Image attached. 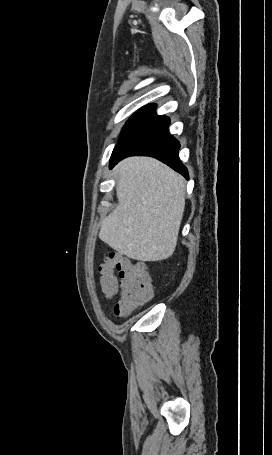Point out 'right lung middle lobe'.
<instances>
[{"label": "right lung middle lobe", "mask_w": 272, "mask_h": 455, "mask_svg": "<svg viewBox=\"0 0 272 455\" xmlns=\"http://www.w3.org/2000/svg\"><path fill=\"white\" fill-rule=\"evenodd\" d=\"M156 105L150 104L139 109L131 118L127 121L126 125L122 129L120 140L123 139L130 131L149 120L156 115Z\"/></svg>", "instance_id": "dd1d6c3e"}]
</instances>
